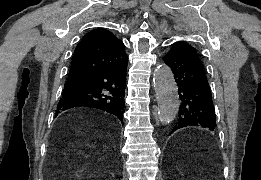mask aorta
Returning a JSON list of instances; mask_svg holds the SVG:
<instances>
[{
	"mask_svg": "<svg viewBox=\"0 0 261 180\" xmlns=\"http://www.w3.org/2000/svg\"><path fill=\"white\" fill-rule=\"evenodd\" d=\"M154 90L157 96L158 117L162 124L174 121L180 102L178 88L169 66L159 65L153 74Z\"/></svg>",
	"mask_w": 261,
	"mask_h": 180,
	"instance_id": "obj_1",
	"label": "aorta"
}]
</instances>
